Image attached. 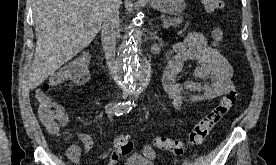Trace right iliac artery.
Here are the masks:
<instances>
[{"label": "right iliac artery", "mask_w": 276, "mask_h": 165, "mask_svg": "<svg viewBox=\"0 0 276 165\" xmlns=\"http://www.w3.org/2000/svg\"><path fill=\"white\" fill-rule=\"evenodd\" d=\"M133 104H131L130 101L117 104L110 103L105 107V109L108 114H114L119 116L129 113V111L132 109Z\"/></svg>", "instance_id": "1"}]
</instances>
